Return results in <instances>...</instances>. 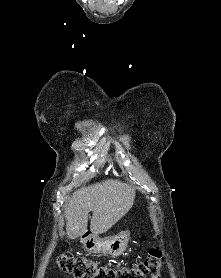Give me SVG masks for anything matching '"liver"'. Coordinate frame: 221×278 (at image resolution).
Here are the masks:
<instances>
[{"label":"liver","instance_id":"6515ba94","mask_svg":"<svg viewBox=\"0 0 221 278\" xmlns=\"http://www.w3.org/2000/svg\"><path fill=\"white\" fill-rule=\"evenodd\" d=\"M134 198L132 185L113 179L75 191L65 208L68 237L75 239L86 233L90 211L91 232L96 235L107 232L129 212Z\"/></svg>","mask_w":221,"mask_h":278}]
</instances>
